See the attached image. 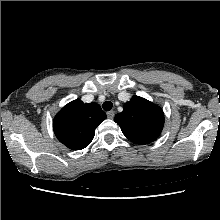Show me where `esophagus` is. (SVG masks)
Returning a JSON list of instances; mask_svg holds the SVG:
<instances>
[{
	"label": "esophagus",
	"mask_w": 220,
	"mask_h": 220,
	"mask_svg": "<svg viewBox=\"0 0 220 220\" xmlns=\"http://www.w3.org/2000/svg\"><path fill=\"white\" fill-rule=\"evenodd\" d=\"M114 116H115L114 111H109V112H107V117H108L109 119H113Z\"/></svg>",
	"instance_id": "obj_1"
}]
</instances>
